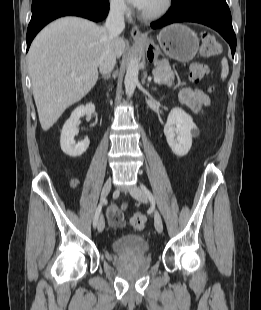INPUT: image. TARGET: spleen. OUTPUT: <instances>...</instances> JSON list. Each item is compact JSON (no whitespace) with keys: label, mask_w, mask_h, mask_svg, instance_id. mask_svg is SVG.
Instances as JSON below:
<instances>
[{"label":"spleen","mask_w":261,"mask_h":310,"mask_svg":"<svg viewBox=\"0 0 261 310\" xmlns=\"http://www.w3.org/2000/svg\"><path fill=\"white\" fill-rule=\"evenodd\" d=\"M221 65H222L221 78H222V80H225L227 75H228V72H229L227 59H225V58L222 59Z\"/></svg>","instance_id":"spleen-1"}]
</instances>
